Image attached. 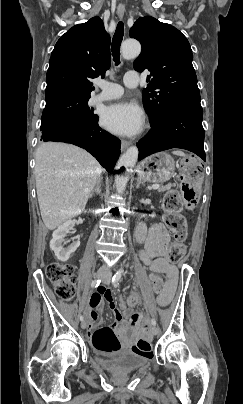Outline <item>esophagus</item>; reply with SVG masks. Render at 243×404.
Masks as SVG:
<instances>
[{"mask_svg":"<svg viewBox=\"0 0 243 404\" xmlns=\"http://www.w3.org/2000/svg\"><path fill=\"white\" fill-rule=\"evenodd\" d=\"M124 11H125V7H124V6H118V7H117V13H118V15H119L120 18H123ZM130 144H131V142H129L128 140H122V141H121V148H122L123 150H125L127 147H129Z\"/></svg>","mask_w":243,"mask_h":404,"instance_id":"1","label":"esophagus"}]
</instances>
